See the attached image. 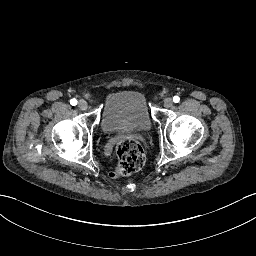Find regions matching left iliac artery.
<instances>
[{
    "mask_svg": "<svg viewBox=\"0 0 256 256\" xmlns=\"http://www.w3.org/2000/svg\"><path fill=\"white\" fill-rule=\"evenodd\" d=\"M173 101H174L175 103H178V102L180 101L179 96H174V97H173Z\"/></svg>",
    "mask_w": 256,
    "mask_h": 256,
    "instance_id": "obj_1",
    "label": "left iliac artery"
}]
</instances>
